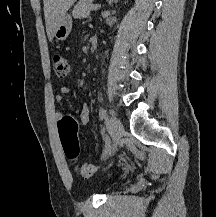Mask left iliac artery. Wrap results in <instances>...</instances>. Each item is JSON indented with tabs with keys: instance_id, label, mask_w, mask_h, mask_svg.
Wrapping results in <instances>:
<instances>
[{
	"instance_id": "1",
	"label": "left iliac artery",
	"mask_w": 216,
	"mask_h": 217,
	"mask_svg": "<svg viewBox=\"0 0 216 217\" xmlns=\"http://www.w3.org/2000/svg\"><path fill=\"white\" fill-rule=\"evenodd\" d=\"M106 115H107L106 110L101 107L99 109L100 120H103L104 118H106ZM110 149H111V142H110V139L108 137H106L105 138V148H104L103 153H102V158H105L108 155Z\"/></svg>"
}]
</instances>
